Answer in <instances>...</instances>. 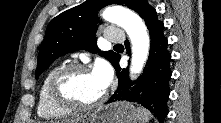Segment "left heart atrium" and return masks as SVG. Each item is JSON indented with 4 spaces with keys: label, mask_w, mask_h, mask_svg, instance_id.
<instances>
[{
    "label": "left heart atrium",
    "mask_w": 221,
    "mask_h": 123,
    "mask_svg": "<svg viewBox=\"0 0 221 123\" xmlns=\"http://www.w3.org/2000/svg\"><path fill=\"white\" fill-rule=\"evenodd\" d=\"M92 73L101 83L102 87L106 89L112 78V72L108 64L104 61H98L95 64Z\"/></svg>",
    "instance_id": "obj_1"
}]
</instances>
